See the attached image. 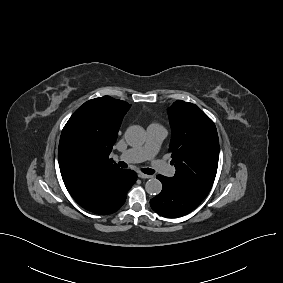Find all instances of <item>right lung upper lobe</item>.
I'll return each instance as SVG.
<instances>
[{
    "mask_svg": "<svg viewBox=\"0 0 283 283\" xmlns=\"http://www.w3.org/2000/svg\"><path fill=\"white\" fill-rule=\"evenodd\" d=\"M130 106L110 96L95 98L81 105L66 123L59 142L58 161L71 196L104 173L120 169L109 154ZM69 130L75 135L74 143L66 140Z\"/></svg>",
    "mask_w": 283,
    "mask_h": 283,
    "instance_id": "right-lung-upper-lobe-1",
    "label": "right lung upper lobe"
}]
</instances>
